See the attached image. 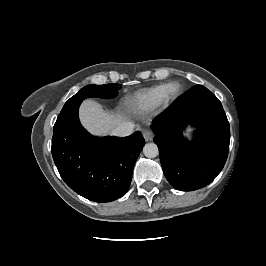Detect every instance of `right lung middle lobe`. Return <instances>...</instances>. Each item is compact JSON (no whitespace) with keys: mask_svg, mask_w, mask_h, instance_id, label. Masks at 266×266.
Listing matches in <instances>:
<instances>
[{"mask_svg":"<svg viewBox=\"0 0 266 266\" xmlns=\"http://www.w3.org/2000/svg\"><path fill=\"white\" fill-rule=\"evenodd\" d=\"M118 86L120 85H118L117 83L105 85H87L65 103L62 111L66 110L70 106L82 102L84 99L89 97H100L105 99L114 98L118 94Z\"/></svg>","mask_w":266,"mask_h":266,"instance_id":"dd1d6c3e","label":"right lung middle lobe"}]
</instances>
